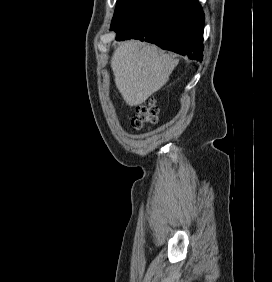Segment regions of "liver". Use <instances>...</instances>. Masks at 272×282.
I'll return each mask as SVG.
<instances>
[{
    "mask_svg": "<svg viewBox=\"0 0 272 282\" xmlns=\"http://www.w3.org/2000/svg\"><path fill=\"white\" fill-rule=\"evenodd\" d=\"M177 64L155 45L135 40L115 45L111 59L116 87L129 106L142 104L161 89Z\"/></svg>",
    "mask_w": 272,
    "mask_h": 282,
    "instance_id": "1",
    "label": "liver"
}]
</instances>
